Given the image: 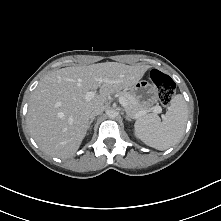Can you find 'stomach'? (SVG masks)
Here are the masks:
<instances>
[{"instance_id": "obj_1", "label": "stomach", "mask_w": 221, "mask_h": 221, "mask_svg": "<svg viewBox=\"0 0 221 221\" xmlns=\"http://www.w3.org/2000/svg\"><path fill=\"white\" fill-rule=\"evenodd\" d=\"M129 89L143 107H150L156 101V89L146 80L136 82Z\"/></svg>"}]
</instances>
